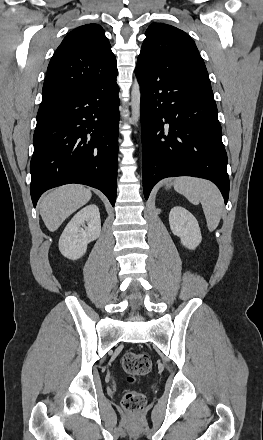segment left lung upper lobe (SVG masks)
I'll return each mask as SVG.
<instances>
[{
  "instance_id": "5c2ea615",
  "label": "left lung upper lobe",
  "mask_w": 263,
  "mask_h": 440,
  "mask_svg": "<svg viewBox=\"0 0 263 440\" xmlns=\"http://www.w3.org/2000/svg\"><path fill=\"white\" fill-rule=\"evenodd\" d=\"M145 35L137 65L151 69L172 67L195 82L211 87L204 61L188 34L171 25L153 23Z\"/></svg>"
}]
</instances>
